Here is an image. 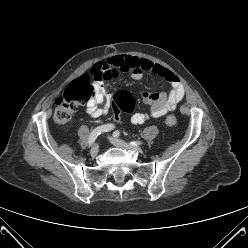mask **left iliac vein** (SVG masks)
Wrapping results in <instances>:
<instances>
[{
  "label": "left iliac vein",
  "mask_w": 248,
  "mask_h": 248,
  "mask_svg": "<svg viewBox=\"0 0 248 248\" xmlns=\"http://www.w3.org/2000/svg\"><path fill=\"white\" fill-rule=\"evenodd\" d=\"M109 141L117 146V147H121V148H124V149H128V150H134V151H138V152H142V149L140 146L138 145H133V144H129V143H126L120 139H117L115 137H109Z\"/></svg>",
  "instance_id": "4c4485c4"
}]
</instances>
